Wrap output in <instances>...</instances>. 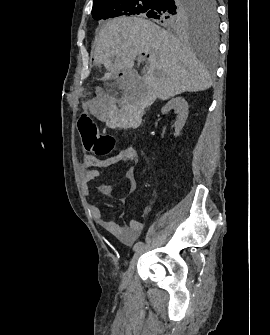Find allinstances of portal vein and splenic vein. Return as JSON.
I'll use <instances>...</instances> for the list:
<instances>
[{
	"mask_svg": "<svg viewBox=\"0 0 270 335\" xmlns=\"http://www.w3.org/2000/svg\"><path fill=\"white\" fill-rule=\"evenodd\" d=\"M148 65H151V62H148Z\"/></svg>",
	"mask_w": 270,
	"mask_h": 335,
	"instance_id": "1",
	"label": "portal vein and splenic vein"
}]
</instances>
